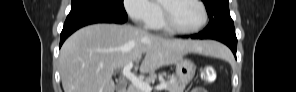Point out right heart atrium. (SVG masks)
Returning a JSON list of instances; mask_svg holds the SVG:
<instances>
[{
	"label": "right heart atrium",
	"mask_w": 296,
	"mask_h": 92,
	"mask_svg": "<svg viewBox=\"0 0 296 92\" xmlns=\"http://www.w3.org/2000/svg\"><path fill=\"white\" fill-rule=\"evenodd\" d=\"M124 7L129 17L136 23L149 26L159 14V7L151 0H126Z\"/></svg>",
	"instance_id": "right-heart-atrium-1"
}]
</instances>
